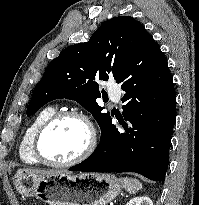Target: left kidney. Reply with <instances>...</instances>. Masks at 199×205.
Masks as SVG:
<instances>
[{
    "label": "left kidney",
    "instance_id": "5707ae66",
    "mask_svg": "<svg viewBox=\"0 0 199 205\" xmlns=\"http://www.w3.org/2000/svg\"><path fill=\"white\" fill-rule=\"evenodd\" d=\"M126 205H153V202L147 196H138L131 199Z\"/></svg>",
    "mask_w": 199,
    "mask_h": 205
}]
</instances>
